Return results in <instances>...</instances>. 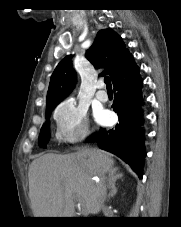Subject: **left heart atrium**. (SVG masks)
Instances as JSON below:
<instances>
[{
  "mask_svg": "<svg viewBox=\"0 0 181 227\" xmlns=\"http://www.w3.org/2000/svg\"><path fill=\"white\" fill-rule=\"evenodd\" d=\"M97 118L100 122H107L109 119V116L106 113H100L98 114Z\"/></svg>",
  "mask_w": 181,
  "mask_h": 227,
  "instance_id": "obj_1",
  "label": "left heart atrium"
}]
</instances>
